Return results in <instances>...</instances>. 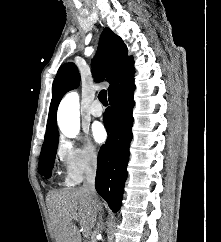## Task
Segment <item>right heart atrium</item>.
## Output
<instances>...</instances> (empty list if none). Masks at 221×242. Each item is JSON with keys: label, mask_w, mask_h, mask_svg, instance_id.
<instances>
[{"label": "right heart atrium", "mask_w": 221, "mask_h": 242, "mask_svg": "<svg viewBox=\"0 0 221 242\" xmlns=\"http://www.w3.org/2000/svg\"><path fill=\"white\" fill-rule=\"evenodd\" d=\"M56 155L61 161L68 184L79 182L87 173L96 170L99 153L89 142L77 144L64 137L56 144Z\"/></svg>", "instance_id": "obj_1"}]
</instances>
